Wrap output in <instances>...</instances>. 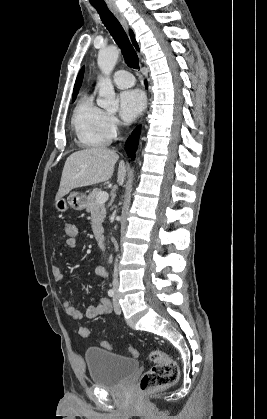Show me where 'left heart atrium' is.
I'll list each match as a JSON object with an SVG mask.
<instances>
[{
  "instance_id": "1",
  "label": "left heart atrium",
  "mask_w": 267,
  "mask_h": 419,
  "mask_svg": "<svg viewBox=\"0 0 267 419\" xmlns=\"http://www.w3.org/2000/svg\"><path fill=\"white\" fill-rule=\"evenodd\" d=\"M120 115L124 120L132 121L138 117L144 109L145 97L137 89L126 90L119 95Z\"/></svg>"
}]
</instances>
